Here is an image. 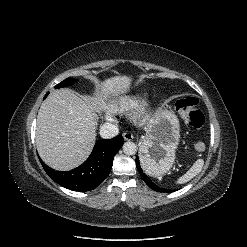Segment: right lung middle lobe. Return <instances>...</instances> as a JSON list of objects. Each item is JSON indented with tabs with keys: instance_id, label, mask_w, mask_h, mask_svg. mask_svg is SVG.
I'll list each match as a JSON object with an SVG mask.
<instances>
[{
	"instance_id": "1",
	"label": "right lung middle lobe",
	"mask_w": 247,
	"mask_h": 247,
	"mask_svg": "<svg viewBox=\"0 0 247 247\" xmlns=\"http://www.w3.org/2000/svg\"><path fill=\"white\" fill-rule=\"evenodd\" d=\"M75 80L67 78L64 81H62L61 83L56 85V88H62L68 85H71Z\"/></svg>"
}]
</instances>
